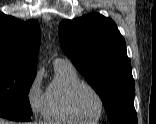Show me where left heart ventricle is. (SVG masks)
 I'll list each match as a JSON object with an SVG mask.
<instances>
[{
    "label": "left heart ventricle",
    "instance_id": "b2bd125f",
    "mask_svg": "<svg viewBox=\"0 0 156 124\" xmlns=\"http://www.w3.org/2000/svg\"><path fill=\"white\" fill-rule=\"evenodd\" d=\"M76 105L79 112L88 120L95 119L101 111V104L98 97L88 89H82L78 93Z\"/></svg>",
    "mask_w": 156,
    "mask_h": 124
}]
</instances>
